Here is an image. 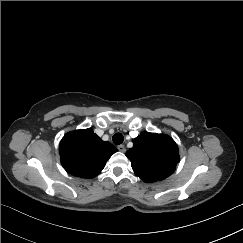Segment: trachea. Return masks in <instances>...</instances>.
<instances>
[{
  "label": "trachea",
  "instance_id": "3493384b",
  "mask_svg": "<svg viewBox=\"0 0 243 243\" xmlns=\"http://www.w3.org/2000/svg\"><path fill=\"white\" fill-rule=\"evenodd\" d=\"M112 140L114 144L120 145L124 141V137L121 133H116L113 135Z\"/></svg>",
  "mask_w": 243,
  "mask_h": 243
}]
</instances>
